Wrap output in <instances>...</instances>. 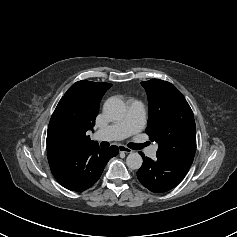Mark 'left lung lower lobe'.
<instances>
[{"mask_svg": "<svg viewBox=\"0 0 237 237\" xmlns=\"http://www.w3.org/2000/svg\"><path fill=\"white\" fill-rule=\"evenodd\" d=\"M140 154L143 158V164L137 171V177L141 184L155 193L166 192L177 186L191 166L190 164L159 155L153 161L142 153Z\"/></svg>", "mask_w": 237, "mask_h": 237, "instance_id": "1", "label": "left lung lower lobe"}]
</instances>
